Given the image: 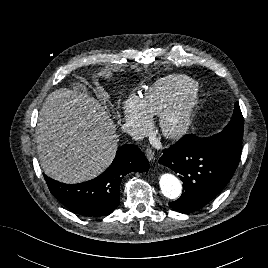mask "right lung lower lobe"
<instances>
[{
	"label": "right lung lower lobe",
	"instance_id": "right-lung-lower-lobe-1",
	"mask_svg": "<svg viewBox=\"0 0 268 268\" xmlns=\"http://www.w3.org/2000/svg\"><path fill=\"white\" fill-rule=\"evenodd\" d=\"M149 163L141 150L127 144L117 150L112 164L98 177L78 184H63L46 175L50 192L69 210L82 216H105L117 208L122 178L130 172H145Z\"/></svg>",
	"mask_w": 268,
	"mask_h": 268
}]
</instances>
